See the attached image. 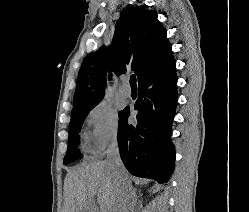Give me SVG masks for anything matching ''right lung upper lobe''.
Listing matches in <instances>:
<instances>
[{
  "label": "right lung upper lobe",
  "instance_id": "cb5924a9",
  "mask_svg": "<svg viewBox=\"0 0 249 212\" xmlns=\"http://www.w3.org/2000/svg\"><path fill=\"white\" fill-rule=\"evenodd\" d=\"M147 8L126 7L116 23L110 48L103 45L83 60L72 110L102 100L107 69L117 76L132 70L140 81L172 55L166 29L158 21L156 11Z\"/></svg>",
  "mask_w": 249,
  "mask_h": 212
}]
</instances>
